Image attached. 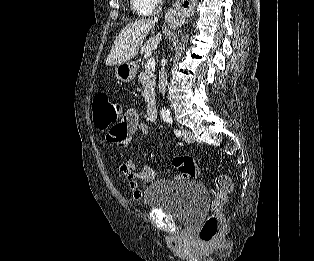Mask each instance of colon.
I'll use <instances>...</instances> for the list:
<instances>
[{
	"instance_id": "obj_1",
	"label": "colon",
	"mask_w": 314,
	"mask_h": 261,
	"mask_svg": "<svg viewBox=\"0 0 314 261\" xmlns=\"http://www.w3.org/2000/svg\"><path fill=\"white\" fill-rule=\"evenodd\" d=\"M121 107L108 93L99 92L93 98V120L99 129L117 126L121 123ZM126 138V136H125ZM174 168L178 170L177 178L190 179L198 174L197 164L190 156H178L172 160ZM218 189L212 204L213 212L209 215L199 229L202 241L210 243L217 240L223 225V207L228 202L229 194L233 191L232 181L225 175L215 179Z\"/></svg>"
}]
</instances>
